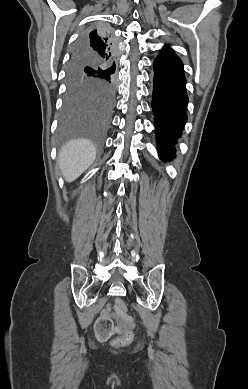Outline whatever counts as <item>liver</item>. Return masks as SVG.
Segmentation results:
<instances>
[{
	"mask_svg": "<svg viewBox=\"0 0 248 389\" xmlns=\"http://www.w3.org/2000/svg\"><path fill=\"white\" fill-rule=\"evenodd\" d=\"M96 158L91 141L80 138L67 142L58 153V164L67 182L77 179Z\"/></svg>",
	"mask_w": 248,
	"mask_h": 389,
	"instance_id": "6515ba94",
	"label": "liver"
}]
</instances>
